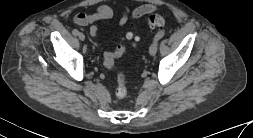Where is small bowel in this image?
<instances>
[{
	"label": "small bowel",
	"mask_w": 253,
	"mask_h": 138,
	"mask_svg": "<svg viewBox=\"0 0 253 138\" xmlns=\"http://www.w3.org/2000/svg\"><path fill=\"white\" fill-rule=\"evenodd\" d=\"M158 10L153 4H143L131 10L127 6H122V15L118 21V26H124L131 20H137L143 16L152 14ZM113 17V10L108 5H100L93 13L85 11L79 12L74 17V23L78 26L85 27L90 25L89 34L91 37H96L99 32V27L96 24L101 20H108Z\"/></svg>",
	"instance_id": "1"
}]
</instances>
